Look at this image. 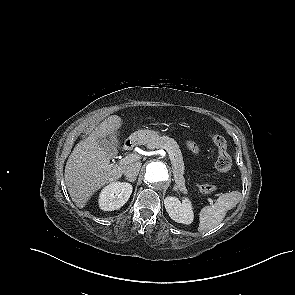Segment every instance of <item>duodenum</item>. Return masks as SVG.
I'll use <instances>...</instances> for the list:
<instances>
[{"label":"duodenum","instance_id":"1","mask_svg":"<svg viewBox=\"0 0 295 295\" xmlns=\"http://www.w3.org/2000/svg\"><path fill=\"white\" fill-rule=\"evenodd\" d=\"M135 140L134 139H129V140H127L126 142H125V144H124V149L125 150H131L133 147H134V145H135Z\"/></svg>","mask_w":295,"mask_h":295}]
</instances>
